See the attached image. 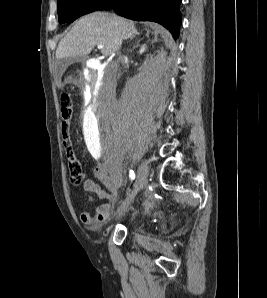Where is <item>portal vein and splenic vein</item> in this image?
I'll use <instances>...</instances> for the list:
<instances>
[{
	"label": "portal vein and splenic vein",
	"instance_id": "portal-vein-and-splenic-vein-1",
	"mask_svg": "<svg viewBox=\"0 0 267 298\" xmlns=\"http://www.w3.org/2000/svg\"><path fill=\"white\" fill-rule=\"evenodd\" d=\"M97 48H98V49H103L104 46H103L102 44H100V45L97 46Z\"/></svg>",
	"mask_w": 267,
	"mask_h": 298
}]
</instances>
